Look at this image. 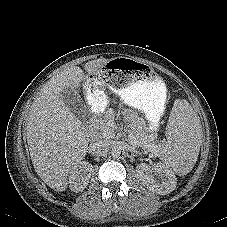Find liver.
<instances>
[{"label": "liver", "mask_w": 227, "mask_h": 227, "mask_svg": "<svg viewBox=\"0 0 227 227\" xmlns=\"http://www.w3.org/2000/svg\"><path fill=\"white\" fill-rule=\"evenodd\" d=\"M106 59L85 64L92 70ZM88 80L77 66L64 69L52 77L36 96L27 119V142L32 164L38 176L50 188L63 192L71 170L85 157L89 133L79 118L64 104L62 93L76 90Z\"/></svg>", "instance_id": "liver-1"}]
</instances>
